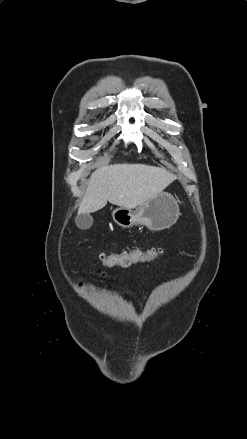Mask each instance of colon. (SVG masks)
Returning a JSON list of instances; mask_svg holds the SVG:
<instances>
[{"label":"colon","instance_id":"colon-1","mask_svg":"<svg viewBox=\"0 0 247 439\" xmlns=\"http://www.w3.org/2000/svg\"><path fill=\"white\" fill-rule=\"evenodd\" d=\"M158 255V250H126L117 254H103L101 260L108 267H129L135 263L151 261Z\"/></svg>","mask_w":247,"mask_h":439}]
</instances>
